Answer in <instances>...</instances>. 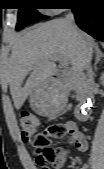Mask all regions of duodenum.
Returning a JSON list of instances; mask_svg holds the SVG:
<instances>
[{
	"instance_id": "duodenum-1",
	"label": "duodenum",
	"mask_w": 104,
	"mask_h": 169,
	"mask_svg": "<svg viewBox=\"0 0 104 169\" xmlns=\"http://www.w3.org/2000/svg\"><path fill=\"white\" fill-rule=\"evenodd\" d=\"M63 77L64 76L61 73H57L53 76L54 79H61ZM75 92L79 99V105L75 110V116L78 121L85 122L90 116L93 96L88 90V85L85 82H80L77 85Z\"/></svg>"
}]
</instances>
